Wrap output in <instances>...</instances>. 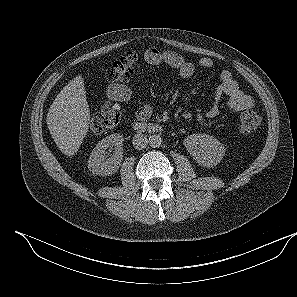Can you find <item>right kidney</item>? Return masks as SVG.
I'll list each match as a JSON object with an SVG mask.
<instances>
[{"mask_svg": "<svg viewBox=\"0 0 297 297\" xmlns=\"http://www.w3.org/2000/svg\"><path fill=\"white\" fill-rule=\"evenodd\" d=\"M123 141L124 139L120 134H111L99 141L89 157V170L93 174L101 176L115 173L123 159ZM108 148H114L110 157L106 156Z\"/></svg>", "mask_w": 297, "mask_h": 297, "instance_id": "right-kidney-1", "label": "right kidney"}]
</instances>
